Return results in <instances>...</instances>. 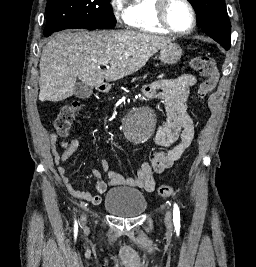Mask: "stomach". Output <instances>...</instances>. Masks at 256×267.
<instances>
[{
	"label": "stomach",
	"instance_id": "1",
	"mask_svg": "<svg viewBox=\"0 0 256 267\" xmlns=\"http://www.w3.org/2000/svg\"><path fill=\"white\" fill-rule=\"evenodd\" d=\"M182 56V48H180L179 44H165L162 46L160 50L159 60L163 62V64H176L178 60H180Z\"/></svg>",
	"mask_w": 256,
	"mask_h": 267
}]
</instances>
